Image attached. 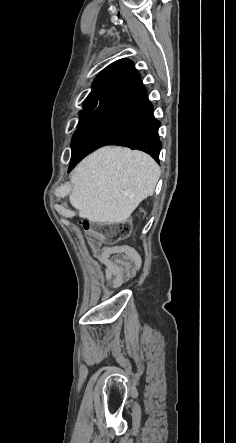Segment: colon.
Returning a JSON list of instances; mask_svg holds the SVG:
<instances>
[{
  "label": "colon",
  "instance_id": "colon-1",
  "mask_svg": "<svg viewBox=\"0 0 236 443\" xmlns=\"http://www.w3.org/2000/svg\"><path fill=\"white\" fill-rule=\"evenodd\" d=\"M83 227L89 230L88 222H84ZM130 228V222L127 220L99 225L91 230V238L94 244L115 243L126 238L130 233Z\"/></svg>",
  "mask_w": 236,
  "mask_h": 443
}]
</instances>
